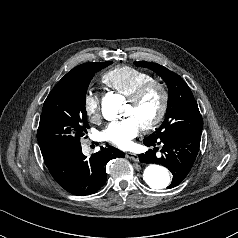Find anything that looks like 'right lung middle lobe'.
I'll list each match as a JSON object with an SVG mask.
<instances>
[{
  "label": "right lung middle lobe",
  "mask_w": 238,
  "mask_h": 238,
  "mask_svg": "<svg viewBox=\"0 0 238 238\" xmlns=\"http://www.w3.org/2000/svg\"><path fill=\"white\" fill-rule=\"evenodd\" d=\"M111 63H88L55 85L44 102L37 131L42 155L80 145L81 137L89 128L86 90L94 74Z\"/></svg>",
  "instance_id": "right-lung-middle-lobe-1"
}]
</instances>
